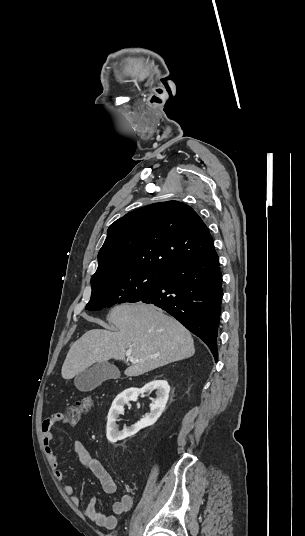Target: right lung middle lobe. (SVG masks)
I'll return each instance as SVG.
<instances>
[{
	"instance_id": "obj_1",
	"label": "right lung middle lobe",
	"mask_w": 305,
	"mask_h": 536,
	"mask_svg": "<svg viewBox=\"0 0 305 536\" xmlns=\"http://www.w3.org/2000/svg\"><path fill=\"white\" fill-rule=\"evenodd\" d=\"M166 272L135 271L123 276L91 281L92 295L87 310H101L117 303L137 302L158 287Z\"/></svg>"
}]
</instances>
